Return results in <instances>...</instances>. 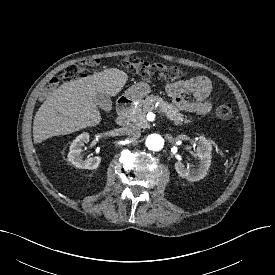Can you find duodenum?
I'll return each instance as SVG.
<instances>
[{"label":"duodenum","mask_w":275,"mask_h":275,"mask_svg":"<svg viewBox=\"0 0 275 275\" xmlns=\"http://www.w3.org/2000/svg\"><path fill=\"white\" fill-rule=\"evenodd\" d=\"M133 100L130 97H122L117 103V118L116 122L120 126H125L130 123L129 112Z\"/></svg>","instance_id":"1"}]
</instances>
